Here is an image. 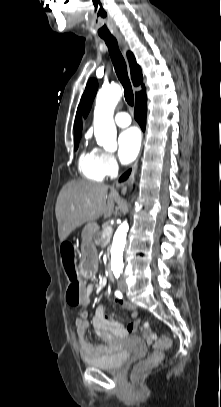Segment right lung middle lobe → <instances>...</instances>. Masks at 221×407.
I'll list each match as a JSON object with an SVG mask.
<instances>
[{
    "label": "right lung middle lobe",
    "mask_w": 221,
    "mask_h": 407,
    "mask_svg": "<svg viewBox=\"0 0 221 407\" xmlns=\"http://www.w3.org/2000/svg\"><path fill=\"white\" fill-rule=\"evenodd\" d=\"M75 150L78 148V142L74 143Z\"/></svg>",
    "instance_id": "right-lung-middle-lobe-1"
}]
</instances>
